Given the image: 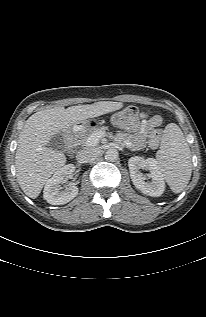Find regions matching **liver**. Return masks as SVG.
<instances>
[{
  "label": "liver",
  "mask_w": 206,
  "mask_h": 317,
  "mask_svg": "<svg viewBox=\"0 0 206 317\" xmlns=\"http://www.w3.org/2000/svg\"><path fill=\"white\" fill-rule=\"evenodd\" d=\"M122 107V102L100 101L67 109L47 108L31 115L19 134L15 156L17 181L23 192L37 198L48 178L65 165V155L47 146L53 135L69 133L76 124Z\"/></svg>",
  "instance_id": "1"
}]
</instances>
